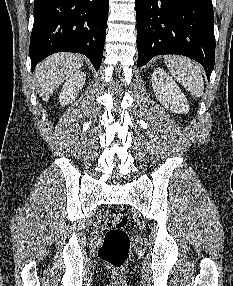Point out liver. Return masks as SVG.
<instances>
[{
    "label": "liver",
    "mask_w": 233,
    "mask_h": 286,
    "mask_svg": "<svg viewBox=\"0 0 233 286\" xmlns=\"http://www.w3.org/2000/svg\"><path fill=\"white\" fill-rule=\"evenodd\" d=\"M82 65V57L72 53L54 54L41 62L35 70L34 81L43 101H48L55 89Z\"/></svg>",
    "instance_id": "liver-1"
}]
</instances>
